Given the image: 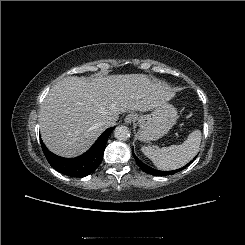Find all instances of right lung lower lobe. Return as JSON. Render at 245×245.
<instances>
[{"label": "right lung lower lobe", "mask_w": 245, "mask_h": 245, "mask_svg": "<svg viewBox=\"0 0 245 245\" xmlns=\"http://www.w3.org/2000/svg\"><path fill=\"white\" fill-rule=\"evenodd\" d=\"M114 128L106 129L87 152L76 158L54 155L41 140L42 150L49 164L58 172L71 177H85L95 171L101 163L108 137Z\"/></svg>", "instance_id": "obj_1"}]
</instances>
